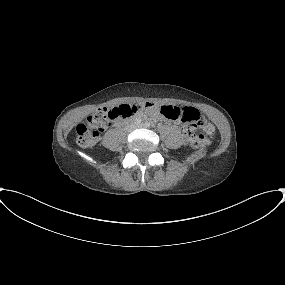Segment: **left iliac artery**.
Masks as SVG:
<instances>
[{"mask_svg":"<svg viewBox=\"0 0 285 285\" xmlns=\"http://www.w3.org/2000/svg\"><path fill=\"white\" fill-rule=\"evenodd\" d=\"M145 126H146V127H150V126H151L150 122H146V123H145Z\"/></svg>","mask_w":285,"mask_h":285,"instance_id":"left-iliac-artery-1","label":"left iliac artery"}]
</instances>
